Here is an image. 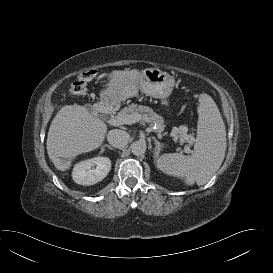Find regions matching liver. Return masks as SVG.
<instances>
[{
  "label": "liver",
  "mask_w": 273,
  "mask_h": 273,
  "mask_svg": "<svg viewBox=\"0 0 273 273\" xmlns=\"http://www.w3.org/2000/svg\"><path fill=\"white\" fill-rule=\"evenodd\" d=\"M141 71H113L108 88L116 91L134 82ZM107 125L90 113L84 106L65 105L56 114L50 125L46 148L55 168L66 171L77 155L97 149L104 141Z\"/></svg>",
  "instance_id": "6515ba94"
}]
</instances>
